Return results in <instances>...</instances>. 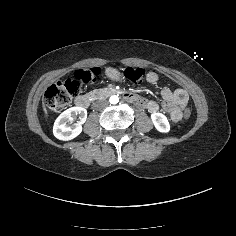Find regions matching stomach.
Here are the masks:
<instances>
[{"label": "stomach", "mask_w": 236, "mask_h": 236, "mask_svg": "<svg viewBox=\"0 0 236 236\" xmlns=\"http://www.w3.org/2000/svg\"><path fill=\"white\" fill-rule=\"evenodd\" d=\"M105 75L106 77H108L109 79L113 80V81H121L123 79V75L122 73L113 67H106L105 68Z\"/></svg>", "instance_id": "stomach-1"}]
</instances>
